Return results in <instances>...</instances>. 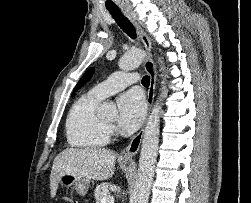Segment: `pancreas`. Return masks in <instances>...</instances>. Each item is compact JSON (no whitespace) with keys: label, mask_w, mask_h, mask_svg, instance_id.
Listing matches in <instances>:
<instances>
[{"label":"pancreas","mask_w":251,"mask_h":203,"mask_svg":"<svg viewBox=\"0 0 251 203\" xmlns=\"http://www.w3.org/2000/svg\"><path fill=\"white\" fill-rule=\"evenodd\" d=\"M110 196V184L109 183H101L96 186L94 190V197L96 200V203H101V200L103 197H109Z\"/></svg>","instance_id":"cf45deb5"}]
</instances>
